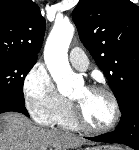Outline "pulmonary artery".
<instances>
[{
    "label": "pulmonary artery",
    "mask_w": 139,
    "mask_h": 150,
    "mask_svg": "<svg viewBox=\"0 0 139 150\" xmlns=\"http://www.w3.org/2000/svg\"><path fill=\"white\" fill-rule=\"evenodd\" d=\"M69 60L76 69L81 71L86 70L89 64L86 54L79 47H75L70 51Z\"/></svg>",
    "instance_id": "e3ab8cb5"
}]
</instances>
